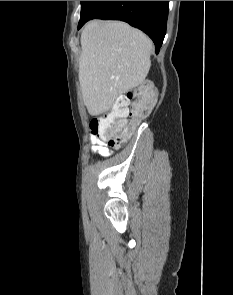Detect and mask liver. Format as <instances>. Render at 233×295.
<instances>
[{"instance_id":"obj_1","label":"liver","mask_w":233,"mask_h":295,"mask_svg":"<svg viewBox=\"0 0 233 295\" xmlns=\"http://www.w3.org/2000/svg\"><path fill=\"white\" fill-rule=\"evenodd\" d=\"M80 41L82 97L88 112L97 116L144 82L153 45L143 32L121 21H89Z\"/></svg>"}]
</instances>
